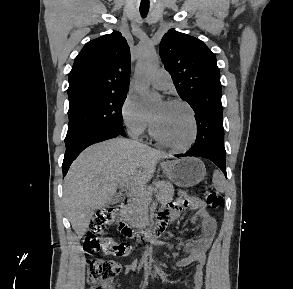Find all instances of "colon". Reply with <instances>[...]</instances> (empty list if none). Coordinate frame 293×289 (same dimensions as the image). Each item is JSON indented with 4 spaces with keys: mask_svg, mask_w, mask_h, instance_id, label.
<instances>
[{
    "mask_svg": "<svg viewBox=\"0 0 293 289\" xmlns=\"http://www.w3.org/2000/svg\"><path fill=\"white\" fill-rule=\"evenodd\" d=\"M205 198L214 209H219L223 201L222 196L214 190L206 191ZM118 211L119 205L106 207L91 220L82 240L83 248L88 254H94L100 249L114 256L131 254L133 247L130 244L102 237L105 228L113 223ZM121 270V265L115 261L100 258L89 259L87 261V281L90 289H112Z\"/></svg>",
    "mask_w": 293,
    "mask_h": 289,
    "instance_id": "5ec220e1",
    "label": "colon"
}]
</instances>
